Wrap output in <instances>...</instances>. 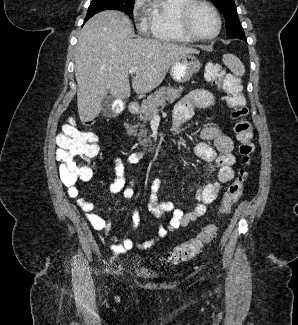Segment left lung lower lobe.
<instances>
[{
	"label": "left lung lower lobe",
	"instance_id": "1",
	"mask_svg": "<svg viewBox=\"0 0 298 325\" xmlns=\"http://www.w3.org/2000/svg\"><path fill=\"white\" fill-rule=\"evenodd\" d=\"M241 40H244V41H246V38H245V36L244 37H242V38H240Z\"/></svg>",
	"mask_w": 298,
	"mask_h": 325
}]
</instances>
